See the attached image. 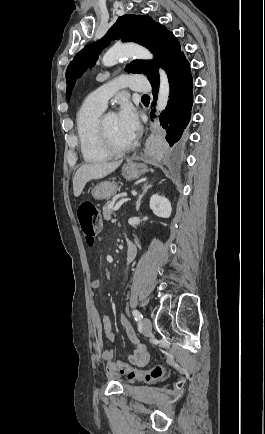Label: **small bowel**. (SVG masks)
Instances as JSON below:
<instances>
[{
  "instance_id": "1",
  "label": "small bowel",
  "mask_w": 265,
  "mask_h": 434,
  "mask_svg": "<svg viewBox=\"0 0 265 434\" xmlns=\"http://www.w3.org/2000/svg\"><path fill=\"white\" fill-rule=\"evenodd\" d=\"M101 287V282L99 280H93L91 282V290L92 294ZM119 318L121 320V323L123 325V328L125 329L130 341L136 345L137 349L135 352V355L133 357V361H147L150 357L149 352L147 351V348L145 344H143L136 336L132 325L127 320L126 315L120 310L119 312ZM92 317L94 320V323L96 325V335H95V342L98 349L99 357L106 362L108 365H110L111 360L113 359L115 355V350L112 347H107L104 344V338H106L109 342L113 343L116 339V336L114 332L112 331V324L111 320L108 316L102 314L98 309H94L92 312ZM115 369L114 367L110 366L109 371L106 373V376L115 381H120V376H115ZM115 376V377H114Z\"/></svg>"
}]
</instances>
